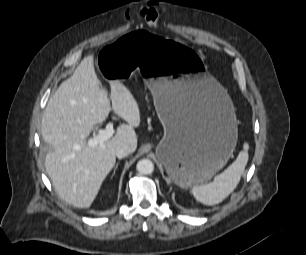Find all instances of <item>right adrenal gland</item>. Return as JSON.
Masks as SVG:
<instances>
[{"label":"right adrenal gland","instance_id":"right-adrenal-gland-1","mask_svg":"<svg viewBox=\"0 0 306 255\" xmlns=\"http://www.w3.org/2000/svg\"><path fill=\"white\" fill-rule=\"evenodd\" d=\"M118 164H119V163L116 164V166H115V168H114V171H113V174H112V175L115 174V172H116V170H117V168H118Z\"/></svg>","mask_w":306,"mask_h":255}]
</instances>
